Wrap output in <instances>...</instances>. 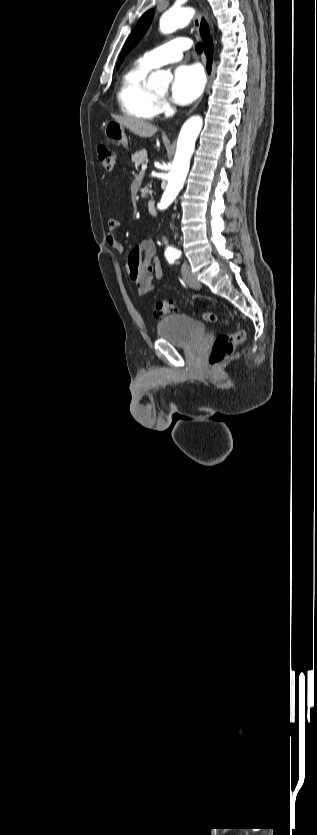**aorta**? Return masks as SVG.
Returning a JSON list of instances; mask_svg holds the SVG:
<instances>
[{
  "mask_svg": "<svg viewBox=\"0 0 317 835\" xmlns=\"http://www.w3.org/2000/svg\"><path fill=\"white\" fill-rule=\"evenodd\" d=\"M193 15V9L189 7H172L162 13L159 26L162 33H172L178 27L187 25ZM172 75L163 71L153 72L148 78L150 88L159 87L161 83L168 84ZM203 127V119L200 116L189 118L182 126L177 140V148L169 173L167 186L159 203L160 209L167 208L177 197L186 180L190 159L194 152L196 139Z\"/></svg>",
  "mask_w": 317,
  "mask_h": 835,
  "instance_id": "762f6f07",
  "label": "aorta"
}]
</instances>
